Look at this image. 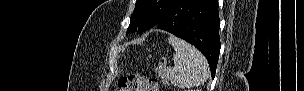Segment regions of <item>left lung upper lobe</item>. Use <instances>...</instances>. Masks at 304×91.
<instances>
[{"instance_id": "5c2ea615", "label": "left lung upper lobe", "mask_w": 304, "mask_h": 91, "mask_svg": "<svg viewBox=\"0 0 304 91\" xmlns=\"http://www.w3.org/2000/svg\"><path fill=\"white\" fill-rule=\"evenodd\" d=\"M175 0H137L129 28L134 31L141 24L138 32L155 26L168 12Z\"/></svg>"}]
</instances>
